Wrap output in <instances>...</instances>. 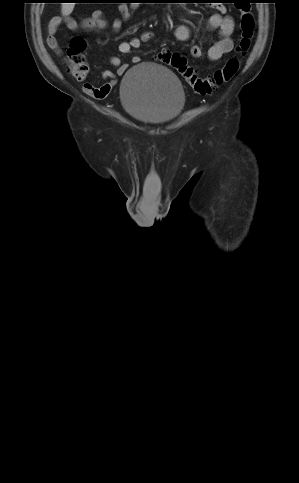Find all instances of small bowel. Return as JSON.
I'll return each instance as SVG.
<instances>
[{
    "mask_svg": "<svg viewBox=\"0 0 299 483\" xmlns=\"http://www.w3.org/2000/svg\"><path fill=\"white\" fill-rule=\"evenodd\" d=\"M119 10L123 19H128L131 16V9L129 7L121 5ZM216 10L217 11L212 13L208 18L209 28L216 29L218 31V40L212 46H210L207 53L208 59L213 62L220 60L224 55L233 50V40L231 35L234 31V21L230 16L225 15V6L219 5L216 7ZM62 23H65L66 27L72 31H105L108 28V23L104 17V13L101 10H96L90 16L82 17L80 19L71 17L52 18L48 25V36L46 41L48 46L58 54L61 52V50L57 39V31ZM122 26V20L115 19L110 24V30L114 33H117L122 29ZM174 36L178 41L185 42L190 38L191 30L188 26L180 24L175 28ZM153 38V31H144L139 37H133L130 40L121 41L118 45V50L121 54H128L132 49L138 48L142 43L149 42ZM190 54L194 58H201L203 56V52L198 45L191 46ZM139 62V57L134 56L131 58V63L137 64ZM110 64L118 68V75H123L129 67L128 64L122 63L119 57H112L110 59ZM102 76L104 79H109V81L100 86L85 83L84 91L86 94L96 99H105L108 96L116 83V76L109 70L104 71Z\"/></svg>",
    "mask_w": 299,
    "mask_h": 483,
    "instance_id": "1",
    "label": "small bowel"
}]
</instances>
